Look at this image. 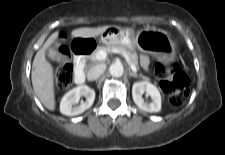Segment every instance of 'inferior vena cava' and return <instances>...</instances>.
<instances>
[{"label":"inferior vena cava","mask_w":225,"mask_h":155,"mask_svg":"<svg viewBox=\"0 0 225 155\" xmlns=\"http://www.w3.org/2000/svg\"><path fill=\"white\" fill-rule=\"evenodd\" d=\"M105 69H106V65L104 64H97L91 67L87 72V79L89 81L96 80L104 73Z\"/></svg>","instance_id":"1"}]
</instances>
